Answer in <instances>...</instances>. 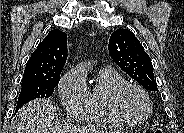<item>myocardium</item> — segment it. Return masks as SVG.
Masks as SVG:
<instances>
[{
	"label": "myocardium",
	"instance_id": "obj_1",
	"mask_svg": "<svg viewBox=\"0 0 184 133\" xmlns=\"http://www.w3.org/2000/svg\"><path fill=\"white\" fill-rule=\"evenodd\" d=\"M130 90H135L139 92L147 104V112L140 119H134L129 117L123 110L122 99L124 95ZM110 106L115 116L122 123L129 124V125H139L144 123L145 121H147V119L150 117L152 113V102L146 90L137 84L129 83V82H126L114 89L110 97Z\"/></svg>",
	"mask_w": 184,
	"mask_h": 133
}]
</instances>
